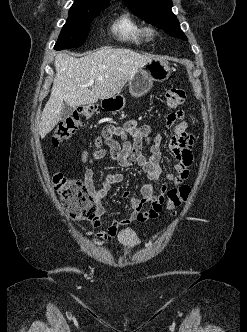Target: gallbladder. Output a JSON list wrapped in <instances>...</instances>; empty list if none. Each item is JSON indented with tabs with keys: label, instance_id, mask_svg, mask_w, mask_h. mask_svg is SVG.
I'll return each mask as SVG.
<instances>
[{
	"label": "gallbladder",
	"instance_id": "bac80fb5",
	"mask_svg": "<svg viewBox=\"0 0 247 332\" xmlns=\"http://www.w3.org/2000/svg\"><path fill=\"white\" fill-rule=\"evenodd\" d=\"M74 111V108L71 107L70 105L64 103L61 109V113L60 116L62 119L67 118L68 116H70Z\"/></svg>",
	"mask_w": 247,
	"mask_h": 332
}]
</instances>
